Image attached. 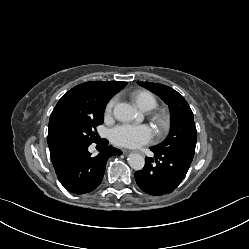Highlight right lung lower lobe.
Segmentation results:
<instances>
[{
    "label": "right lung lower lobe",
    "instance_id": "right-lung-lower-lobe-1",
    "mask_svg": "<svg viewBox=\"0 0 249 249\" xmlns=\"http://www.w3.org/2000/svg\"><path fill=\"white\" fill-rule=\"evenodd\" d=\"M95 143L103 146L97 156L91 155L88 144L69 149L53 162L59 181L68 191L85 194L96 189L103 178L108 158L122 154L121 150L108 146L105 139Z\"/></svg>",
    "mask_w": 249,
    "mask_h": 249
}]
</instances>
